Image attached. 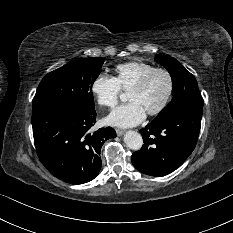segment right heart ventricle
<instances>
[{"instance_id":"right-heart-ventricle-1","label":"right heart ventricle","mask_w":233,"mask_h":233,"mask_svg":"<svg viewBox=\"0 0 233 233\" xmlns=\"http://www.w3.org/2000/svg\"><path fill=\"white\" fill-rule=\"evenodd\" d=\"M155 69L152 64L131 61L115 67L114 79L122 90H130L143 76Z\"/></svg>"}]
</instances>
